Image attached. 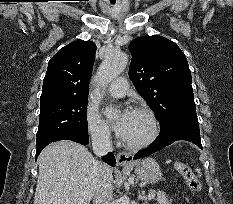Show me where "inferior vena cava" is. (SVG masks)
Returning <instances> with one entry per match:
<instances>
[{
    "label": "inferior vena cava",
    "instance_id": "inferior-vena-cava-1",
    "mask_svg": "<svg viewBox=\"0 0 233 204\" xmlns=\"http://www.w3.org/2000/svg\"><path fill=\"white\" fill-rule=\"evenodd\" d=\"M92 148L97 156H104L113 150L109 133L99 132L92 135ZM113 177L109 167L105 166L102 178L94 193L93 204H112Z\"/></svg>",
    "mask_w": 233,
    "mask_h": 204
}]
</instances>
